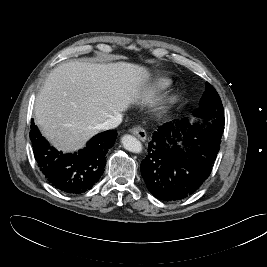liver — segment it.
I'll return each mask as SVG.
<instances>
[{
	"label": "liver",
	"instance_id": "obj_1",
	"mask_svg": "<svg viewBox=\"0 0 267 267\" xmlns=\"http://www.w3.org/2000/svg\"><path fill=\"white\" fill-rule=\"evenodd\" d=\"M149 72L137 64L71 61L55 67L35 101V120L57 149L73 152L96 135L99 124L137 102L151 101Z\"/></svg>",
	"mask_w": 267,
	"mask_h": 267
}]
</instances>
